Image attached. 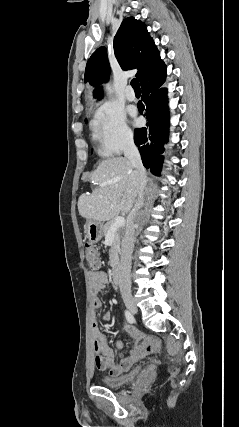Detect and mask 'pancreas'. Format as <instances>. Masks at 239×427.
I'll use <instances>...</instances> for the list:
<instances>
[{
	"label": "pancreas",
	"instance_id": "obj_1",
	"mask_svg": "<svg viewBox=\"0 0 239 427\" xmlns=\"http://www.w3.org/2000/svg\"><path fill=\"white\" fill-rule=\"evenodd\" d=\"M114 221L115 220H110L109 222H107L104 225L103 232H104L105 236L109 232L110 227L114 223ZM123 231H124V229L122 227H120L116 230V232L114 234L113 242H112L111 248L109 250V257H110L109 264L111 266H113L118 259V254L120 252V239H121V236L123 234Z\"/></svg>",
	"mask_w": 239,
	"mask_h": 427
}]
</instances>
